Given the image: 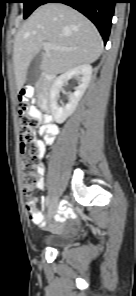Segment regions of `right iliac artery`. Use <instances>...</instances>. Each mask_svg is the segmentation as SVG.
I'll list each match as a JSON object with an SVG mask.
<instances>
[{"label":"right iliac artery","mask_w":136,"mask_h":296,"mask_svg":"<svg viewBox=\"0 0 136 296\" xmlns=\"http://www.w3.org/2000/svg\"><path fill=\"white\" fill-rule=\"evenodd\" d=\"M53 203V196H49V199L47 197V204Z\"/></svg>","instance_id":"obj_1"}]
</instances>
